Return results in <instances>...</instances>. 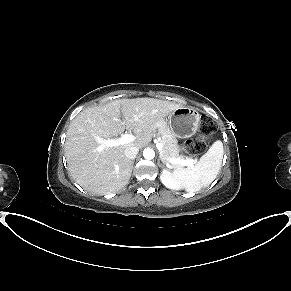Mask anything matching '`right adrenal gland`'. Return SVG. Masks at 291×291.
Wrapping results in <instances>:
<instances>
[{
	"instance_id": "obj_1",
	"label": "right adrenal gland",
	"mask_w": 291,
	"mask_h": 291,
	"mask_svg": "<svg viewBox=\"0 0 291 291\" xmlns=\"http://www.w3.org/2000/svg\"><path fill=\"white\" fill-rule=\"evenodd\" d=\"M133 164H134V161H132V166H133Z\"/></svg>"
}]
</instances>
